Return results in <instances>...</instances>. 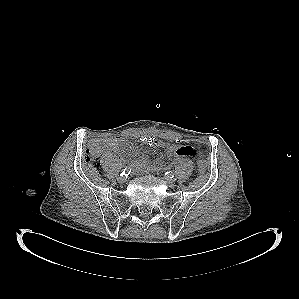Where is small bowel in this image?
<instances>
[{"instance_id": "obj_1", "label": "small bowel", "mask_w": 299, "mask_h": 299, "mask_svg": "<svg viewBox=\"0 0 299 299\" xmlns=\"http://www.w3.org/2000/svg\"><path fill=\"white\" fill-rule=\"evenodd\" d=\"M143 141L149 145L166 149L170 157H197L198 155L197 151L189 145L170 144L154 136L144 137ZM118 146V139H109L105 142L104 149L106 151L116 152L118 150ZM119 158L123 160L124 156L120 155ZM129 162L131 166L138 172H148L152 170L148 158L138 151H135L131 155Z\"/></svg>"}]
</instances>
